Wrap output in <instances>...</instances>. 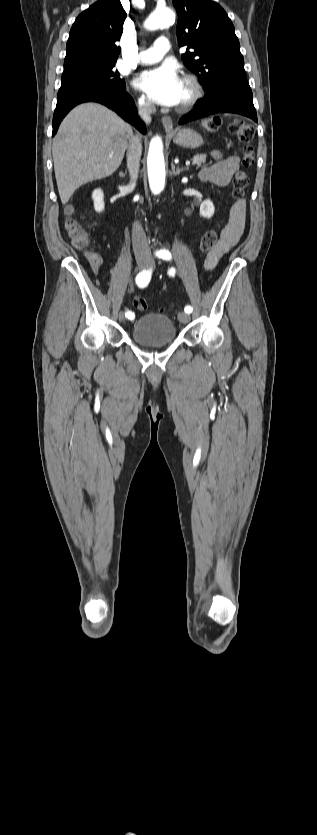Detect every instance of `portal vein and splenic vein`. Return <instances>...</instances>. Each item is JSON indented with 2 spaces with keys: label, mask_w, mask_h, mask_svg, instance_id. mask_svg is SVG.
<instances>
[{
  "label": "portal vein and splenic vein",
  "mask_w": 317,
  "mask_h": 835,
  "mask_svg": "<svg viewBox=\"0 0 317 835\" xmlns=\"http://www.w3.org/2000/svg\"><path fill=\"white\" fill-rule=\"evenodd\" d=\"M193 163H195V161H193ZM189 165H190V161H189V160H187V161H186V166H189Z\"/></svg>",
  "instance_id": "1"
}]
</instances>
